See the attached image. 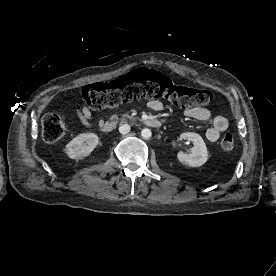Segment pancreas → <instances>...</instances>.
Wrapping results in <instances>:
<instances>
[{
	"label": "pancreas",
	"instance_id": "1",
	"mask_svg": "<svg viewBox=\"0 0 276 276\" xmlns=\"http://www.w3.org/2000/svg\"><path fill=\"white\" fill-rule=\"evenodd\" d=\"M112 119H114V120L117 121V120H118V116H117V115H114V116H112ZM127 119L132 120L133 117L130 116L129 114H123V115L121 116V118H120V120H121L122 122H126Z\"/></svg>",
	"mask_w": 276,
	"mask_h": 276
}]
</instances>
